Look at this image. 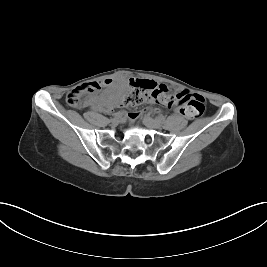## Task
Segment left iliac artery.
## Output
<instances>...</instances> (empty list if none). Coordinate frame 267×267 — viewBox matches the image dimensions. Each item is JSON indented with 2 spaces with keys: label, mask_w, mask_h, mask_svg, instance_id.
I'll return each mask as SVG.
<instances>
[{
  "label": "left iliac artery",
  "mask_w": 267,
  "mask_h": 267,
  "mask_svg": "<svg viewBox=\"0 0 267 267\" xmlns=\"http://www.w3.org/2000/svg\"><path fill=\"white\" fill-rule=\"evenodd\" d=\"M157 119H158L159 121H161V122H164V121H165V118H164V116H162V115L158 116Z\"/></svg>",
  "instance_id": "left-iliac-artery-1"
}]
</instances>
